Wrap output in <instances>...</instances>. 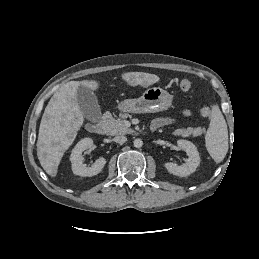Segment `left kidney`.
<instances>
[{"label":"left kidney","instance_id":"5707ae66","mask_svg":"<svg viewBox=\"0 0 259 259\" xmlns=\"http://www.w3.org/2000/svg\"><path fill=\"white\" fill-rule=\"evenodd\" d=\"M177 145L188 154L186 163L179 166L176 163L167 162L164 164V167L173 175L180 177L188 176L193 173L200 164L199 152L196 146L187 140H178Z\"/></svg>","mask_w":259,"mask_h":259}]
</instances>
